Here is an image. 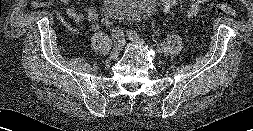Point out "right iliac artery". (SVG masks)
<instances>
[{"label": "right iliac artery", "mask_w": 253, "mask_h": 131, "mask_svg": "<svg viewBox=\"0 0 253 131\" xmlns=\"http://www.w3.org/2000/svg\"><path fill=\"white\" fill-rule=\"evenodd\" d=\"M112 35L119 41H124V33L121 30H113Z\"/></svg>", "instance_id": "obj_1"}]
</instances>
